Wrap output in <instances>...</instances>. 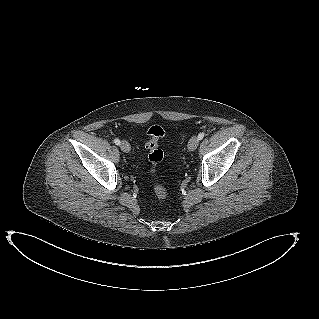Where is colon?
<instances>
[{"label":"colon","instance_id":"5ec220e1","mask_svg":"<svg viewBox=\"0 0 319 319\" xmlns=\"http://www.w3.org/2000/svg\"><path fill=\"white\" fill-rule=\"evenodd\" d=\"M148 141L145 148L148 151V160L151 163V175L153 177V190L157 198L164 199L167 196V187L157 180L158 165L164 158L159 141L164 136V130L159 125H153L147 130Z\"/></svg>","mask_w":319,"mask_h":319}]
</instances>
